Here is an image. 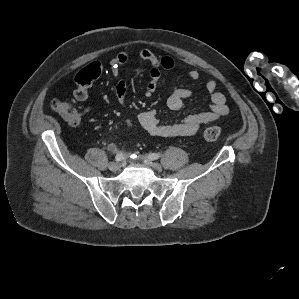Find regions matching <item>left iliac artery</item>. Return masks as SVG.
<instances>
[{
	"mask_svg": "<svg viewBox=\"0 0 299 299\" xmlns=\"http://www.w3.org/2000/svg\"><path fill=\"white\" fill-rule=\"evenodd\" d=\"M160 153H152V154H149L148 155V158L151 159V160H156L160 157Z\"/></svg>",
	"mask_w": 299,
	"mask_h": 299,
	"instance_id": "left-iliac-artery-1",
	"label": "left iliac artery"
}]
</instances>
